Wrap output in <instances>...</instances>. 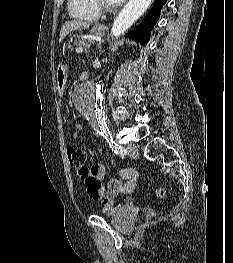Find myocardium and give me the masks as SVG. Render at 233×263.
<instances>
[{
    "mask_svg": "<svg viewBox=\"0 0 233 263\" xmlns=\"http://www.w3.org/2000/svg\"><path fill=\"white\" fill-rule=\"evenodd\" d=\"M96 7L99 11H112L115 9V5L108 3L106 0H94Z\"/></svg>",
    "mask_w": 233,
    "mask_h": 263,
    "instance_id": "1",
    "label": "myocardium"
}]
</instances>
